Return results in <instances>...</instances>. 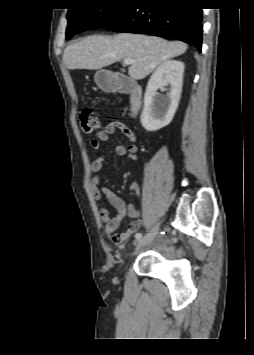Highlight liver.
Wrapping results in <instances>:
<instances>
[{
  "label": "liver",
  "mask_w": 254,
  "mask_h": 355,
  "mask_svg": "<svg viewBox=\"0 0 254 355\" xmlns=\"http://www.w3.org/2000/svg\"><path fill=\"white\" fill-rule=\"evenodd\" d=\"M188 45L159 37L120 33L114 37L92 35L67 46L63 63L69 70H97L123 59H133L131 78L141 80L165 61L186 52Z\"/></svg>",
  "instance_id": "1"
}]
</instances>
